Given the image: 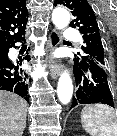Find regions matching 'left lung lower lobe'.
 Masks as SVG:
<instances>
[{
    "instance_id": "obj_1",
    "label": "left lung lower lobe",
    "mask_w": 117,
    "mask_h": 136,
    "mask_svg": "<svg viewBox=\"0 0 117 136\" xmlns=\"http://www.w3.org/2000/svg\"><path fill=\"white\" fill-rule=\"evenodd\" d=\"M76 91L71 108L79 104L103 103L114 107L106 70L90 58L77 57L74 61Z\"/></svg>"
}]
</instances>
